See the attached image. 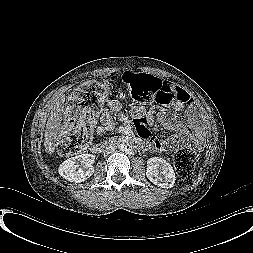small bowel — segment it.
I'll return each mask as SVG.
<instances>
[{
	"label": "small bowel",
	"instance_id": "small-bowel-1",
	"mask_svg": "<svg viewBox=\"0 0 253 253\" xmlns=\"http://www.w3.org/2000/svg\"><path fill=\"white\" fill-rule=\"evenodd\" d=\"M173 85V84H172ZM175 91L180 94V99L171 104L170 110L161 109L155 114L154 112H146L141 107H134L131 110L133 121L137 133L140 138L147 140L152 149L156 152L172 151L177 145L176 138H170L164 142L154 137L147 126L152 125L155 121L159 122L168 130H182L190 141H194L197 147H200L201 142L198 134H194L193 129L199 122V114L193 107L192 97L182 88L173 85ZM187 108L189 123H181L170 111L179 112ZM122 105L118 101H111L100 118V124L97 131L101 134L109 132L114 128L113 115L120 114Z\"/></svg>",
	"mask_w": 253,
	"mask_h": 253
}]
</instances>
